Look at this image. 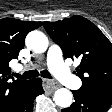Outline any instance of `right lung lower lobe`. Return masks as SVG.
<instances>
[{
  "mask_svg": "<svg viewBox=\"0 0 112 112\" xmlns=\"http://www.w3.org/2000/svg\"><path fill=\"white\" fill-rule=\"evenodd\" d=\"M44 93L41 78L30 80L8 112H32L34 99Z\"/></svg>",
  "mask_w": 112,
  "mask_h": 112,
  "instance_id": "1",
  "label": "right lung lower lobe"
}]
</instances>
